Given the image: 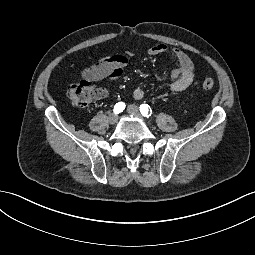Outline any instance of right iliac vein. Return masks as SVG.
Returning a JSON list of instances; mask_svg holds the SVG:
<instances>
[{"label":"right iliac vein","instance_id":"right-iliac-vein-1","mask_svg":"<svg viewBox=\"0 0 255 255\" xmlns=\"http://www.w3.org/2000/svg\"><path fill=\"white\" fill-rule=\"evenodd\" d=\"M108 121L110 124H115L118 121V116L116 114H111Z\"/></svg>","mask_w":255,"mask_h":255}]
</instances>
